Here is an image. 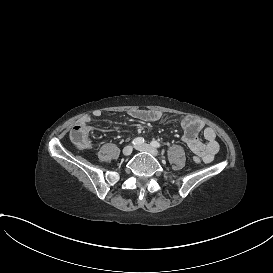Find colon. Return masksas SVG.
<instances>
[{"label":"colon","instance_id":"obj_1","mask_svg":"<svg viewBox=\"0 0 273 273\" xmlns=\"http://www.w3.org/2000/svg\"><path fill=\"white\" fill-rule=\"evenodd\" d=\"M91 128V121L89 119H81L70 132V139L74 143V147L77 150L90 149L94 146V139L92 137H86V134ZM188 145L191 149L200 152L205 151L206 146L201 142H197L194 139L189 140Z\"/></svg>","mask_w":273,"mask_h":273}]
</instances>
